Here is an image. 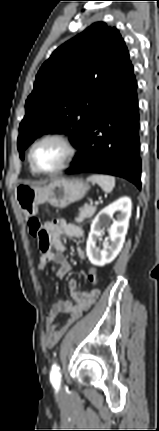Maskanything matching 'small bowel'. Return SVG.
<instances>
[{"mask_svg": "<svg viewBox=\"0 0 159 431\" xmlns=\"http://www.w3.org/2000/svg\"><path fill=\"white\" fill-rule=\"evenodd\" d=\"M43 229L44 235L37 238L40 248L37 269L43 271L49 263H52L55 275L63 278L71 271L72 267L64 256L65 247L61 237L65 235L71 238H80L83 236V230L75 224L66 222L64 219L44 222ZM79 254L82 257L84 256L82 251H79ZM97 281V289L82 292L78 289L75 279L69 280L68 289L71 301L59 300L55 302L46 315L45 340L49 348L54 347L70 325L80 317V311L84 312L96 301L100 293L98 277ZM60 314L67 315V318L58 322L57 317Z\"/></svg>", "mask_w": 159, "mask_h": 431, "instance_id": "1", "label": "small bowel"}]
</instances>
